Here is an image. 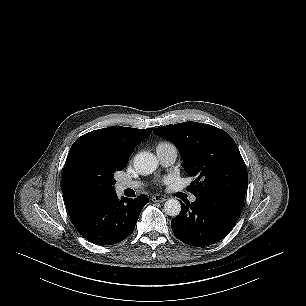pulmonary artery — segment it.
<instances>
[{
    "label": "pulmonary artery",
    "mask_w": 306,
    "mask_h": 306,
    "mask_svg": "<svg viewBox=\"0 0 306 306\" xmlns=\"http://www.w3.org/2000/svg\"><path fill=\"white\" fill-rule=\"evenodd\" d=\"M156 154L159 162L163 166H169L173 164L177 158L178 151L174 145L156 147ZM140 182L136 181H119L116 185L117 192L121 193L126 189H137L141 187ZM195 196L190 198L191 201H195Z\"/></svg>",
    "instance_id": "pulmonary-artery-1"
}]
</instances>
